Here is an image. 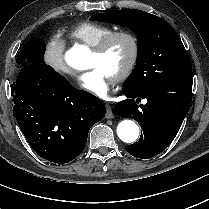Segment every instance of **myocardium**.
<instances>
[{"label":"myocardium","mask_w":209,"mask_h":209,"mask_svg":"<svg viewBox=\"0 0 209 209\" xmlns=\"http://www.w3.org/2000/svg\"><path fill=\"white\" fill-rule=\"evenodd\" d=\"M120 38H124L130 42L131 54L126 65L115 77V80L118 82H122L130 76L139 59L140 41L138 37L131 31H127V30L114 31L111 34H109L106 38H104L99 44H97L92 48V52L96 56L102 57L106 55V53L109 51L113 43Z\"/></svg>","instance_id":"myocardium-1"}]
</instances>
